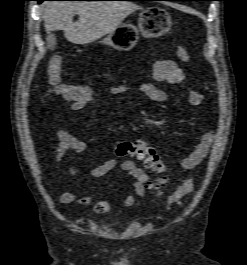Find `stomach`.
Listing matches in <instances>:
<instances>
[{
	"label": "stomach",
	"mask_w": 247,
	"mask_h": 265,
	"mask_svg": "<svg viewBox=\"0 0 247 265\" xmlns=\"http://www.w3.org/2000/svg\"><path fill=\"white\" fill-rule=\"evenodd\" d=\"M171 26L169 13L164 8L151 6L140 13L138 27L129 23L122 24L110 32L102 43L118 51H129L136 46L139 33L146 38H158L166 34Z\"/></svg>",
	"instance_id": "1"
}]
</instances>
